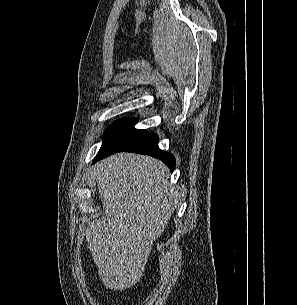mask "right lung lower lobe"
Wrapping results in <instances>:
<instances>
[{
  "mask_svg": "<svg viewBox=\"0 0 297 305\" xmlns=\"http://www.w3.org/2000/svg\"><path fill=\"white\" fill-rule=\"evenodd\" d=\"M158 141H159L158 135L146 134L139 141L127 147L100 149L93 163L116 152L126 151V152L147 154L153 156L157 159L162 160L170 168V170L173 171L175 168V158L171 153L159 149Z\"/></svg>",
  "mask_w": 297,
  "mask_h": 305,
  "instance_id": "1",
  "label": "right lung lower lobe"
}]
</instances>
